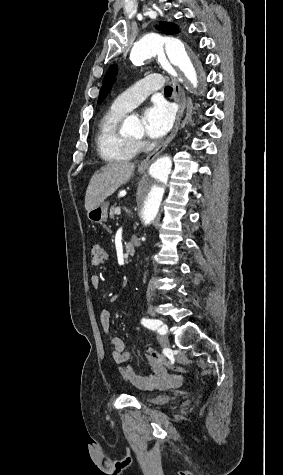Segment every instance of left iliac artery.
Listing matches in <instances>:
<instances>
[{
    "label": "left iliac artery",
    "instance_id": "44dca946",
    "mask_svg": "<svg viewBox=\"0 0 283 475\" xmlns=\"http://www.w3.org/2000/svg\"><path fill=\"white\" fill-rule=\"evenodd\" d=\"M141 323H142L144 326H146V327H148V328H150V329H152V330H156V329H158V327L160 326L159 329H158V332H160L161 334H165V333H166L165 327H161V326L163 325V323H162L160 320H153V319H145V318H143V319L141 320Z\"/></svg>",
    "mask_w": 283,
    "mask_h": 475
}]
</instances>
